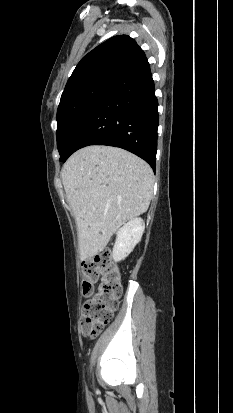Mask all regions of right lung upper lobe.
Listing matches in <instances>:
<instances>
[{
    "mask_svg": "<svg viewBox=\"0 0 233 413\" xmlns=\"http://www.w3.org/2000/svg\"><path fill=\"white\" fill-rule=\"evenodd\" d=\"M145 58L143 50L127 35L114 36L84 56L69 78L62 96L97 78H117Z\"/></svg>",
    "mask_w": 233,
    "mask_h": 413,
    "instance_id": "cb5924a9",
    "label": "right lung upper lobe"
}]
</instances>
